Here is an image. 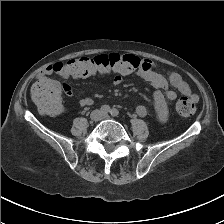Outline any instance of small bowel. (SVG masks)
<instances>
[{
	"label": "small bowel",
	"mask_w": 224,
	"mask_h": 224,
	"mask_svg": "<svg viewBox=\"0 0 224 224\" xmlns=\"http://www.w3.org/2000/svg\"><path fill=\"white\" fill-rule=\"evenodd\" d=\"M56 74L62 78H70V73L66 70L65 64L62 62H55L44 67L37 75L36 82H47L62 90L66 95L73 96V90L68 84H61L58 81L51 79L50 75ZM136 75L142 80L148 82L153 88V102L157 118L160 122L165 123L168 119V102L177 99V91L183 95L189 96L194 102L198 97L192 93L190 86L183 79V77L174 71H170L168 78H165L157 71V65L149 60L142 59L141 64L136 72ZM124 74H116L112 80L113 86H120L124 82ZM173 87V89L170 88ZM81 106H89L93 104V99L89 96L79 99ZM135 112L140 117L147 115V108L142 104L135 106Z\"/></svg>",
	"instance_id": "1"
}]
</instances>
